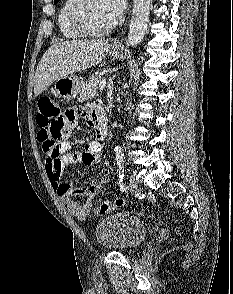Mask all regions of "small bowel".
I'll return each instance as SVG.
<instances>
[{
    "label": "small bowel",
    "instance_id": "obj_1",
    "mask_svg": "<svg viewBox=\"0 0 233 294\" xmlns=\"http://www.w3.org/2000/svg\"><path fill=\"white\" fill-rule=\"evenodd\" d=\"M95 110L93 106L80 107L72 104L71 108H59L54 110L57 115L55 120H50L49 126H44V131L38 132L45 154V169L51 186L61 199L66 210L78 220H86L90 216L93 201L103 186L109 181L110 173L104 170L100 179L89 187L75 188L62 180V172L67 165L82 163L87 166L100 164L102 161L101 143L97 140L89 142L83 151H72L68 137H73L72 127L79 117L86 120L89 126L96 131ZM47 142V145H45ZM81 195L85 198L83 204H79L74 197Z\"/></svg>",
    "mask_w": 233,
    "mask_h": 294
}]
</instances>
